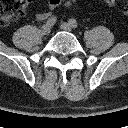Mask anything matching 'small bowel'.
Here are the masks:
<instances>
[{
    "mask_svg": "<svg viewBox=\"0 0 128 128\" xmlns=\"http://www.w3.org/2000/svg\"><path fill=\"white\" fill-rule=\"evenodd\" d=\"M61 2H62V0H49L48 1V9L38 12L36 14V19L40 20V21L47 19L51 15V12L53 10H55L61 4Z\"/></svg>",
    "mask_w": 128,
    "mask_h": 128,
    "instance_id": "c3829d8e",
    "label": "small bowel"
}]
</instances>
